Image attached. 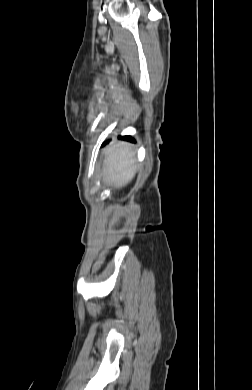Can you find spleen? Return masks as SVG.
Returning <instances> with one entry per match:
<instances>
[{
	"instance_id": "obj_1",
	"label": "spleen",
	"mask_w": 252,
	"mask_h": 390,
	"mask_svg": "<svg viewBox=\"0 0 252 390\" xmlns=\"http://www.w3.org/2000/svg\"><path fill=\"white\" fill-rule=\"evenodd\" d=\"M134 154L126 147L113 148L108 152L103 173L104 181L122 187L135 175Z\"/></svg>"
}]
</instances>
